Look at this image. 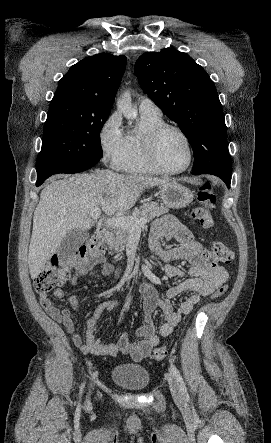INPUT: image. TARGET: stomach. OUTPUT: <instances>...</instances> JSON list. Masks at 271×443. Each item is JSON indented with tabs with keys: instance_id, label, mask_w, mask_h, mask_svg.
<instances>
[{
	"instance_id": "obj_1",
	"label": "stomach",
	"mask_w": 271,
	"mask_h": 443,
	"mask_svg": "<svg viewBox=\"0 0 271 443\" xmlns=\"http://www.w3.org/2000/svg\"><path fill=\"white\" fill-rule=\"evenodd\" d=\"M160 196L163 204L167 208H186L193 202V192H190L185 186H180L177 182H167L160 188Z\"/></svg>"
}]
</instances>
